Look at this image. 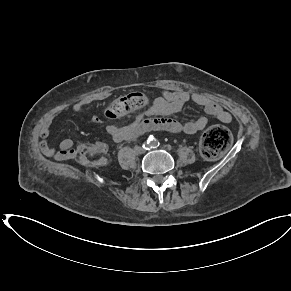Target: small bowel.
I'll return each instance as SVG.
<instances>
[{"label":"small bowel","instance_id":"1","mask_svg":"<svg viewBox=\"0 0 291 291\" xmlns=\"http://www.w3.org/2000/svg\"><path fill=\"white\" fill-rule=\"evenodd\" d=\"M156 92L157 97L153 103L137 112L130 124L125 126H106V132L116 143L132 141L152 130L185 133L189 135L203 130L208 124V118L206 116L193 117L184 123L170 118L172 115L181 113L184 105L188 102H193L202 107L207 115L217 118L222 123L227 124L232 121L231 114L207 94L190 91H171L163 87L157 88ZM109 97L110 94L106 93L84 97L68 106L65 110L69 109L74 113L86 112V108L89 105L106 100ZM56 116L57 114L50 115L43 121L39 133V148L44 155L55 160L63 161L72 159L75 156L74 142L72 139H62L58 143V151L47 144L46 139L50 134V127ZM87 121L90 124H95L99 122V118L95 115H88ZM98 145L104 152L107 151L106 144L99 143Z\"/></svg>","mask_w":291,"mask_h":291}]
</instances>
